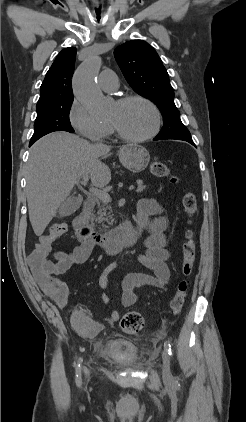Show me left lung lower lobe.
<instances>
[{
    "label": "left lung lower lobe",
    "mask_w": 246,
    "mask_h": 422,
    "mask_svg": "<svg viewBox=\"0 0 246 422\" xmlns=\"http://www.w3.org/2000/svg\"><path fill=\"white\" fill-rule=\"evenodd\" d=\"M154 140H159L158 138H154ZM184 141H187V142H189L190 144H192V145H194L195 146V144H194V142H193V140L192 139H188V140H184Z\"/></svg>",
    "instance_id": "1"
}]
</instances>
